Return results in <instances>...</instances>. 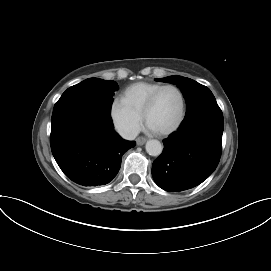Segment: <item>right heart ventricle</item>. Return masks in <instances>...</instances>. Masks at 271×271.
<instances>
[{
    "instance_id": "e07e8e85",
    "label": "right heart ventricle",
    "mask_w": 271,
    "mask_h": 271,
    "mask_svg": "<svg viewBox=\"0 0 271 271\" xmlns=\"http://www.w3.org/2000/svg\"><path fill=\"white\" fill-rule=\"evenodd\" d=\"M163 85L155 82H136L126 87L121 100L134 112L142 116L143 108L149 97Z\"/></svg>"
}]
</instances>
